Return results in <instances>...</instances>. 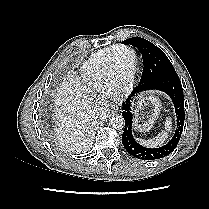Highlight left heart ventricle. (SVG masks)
I'll list each match as a JSON object with an SVG mask.
<instances>
[{
	"mask_svg": "<svg viewBox=\"0 0 209 209\" xmlns=\"http://www.w3.org/2000/svg\"><path fill=\"white\" fill-rule=\"evenodd\" d=\"M133 63L132 52L125 50L118 54L116 58V75L118 78H125L131 69Z\"/></svg>",
	"mask_w": 209,
	"mask_h": 209,
	"instance_id": "obj_1",
	"label": "left heart ventricle"
}]
</instances>
